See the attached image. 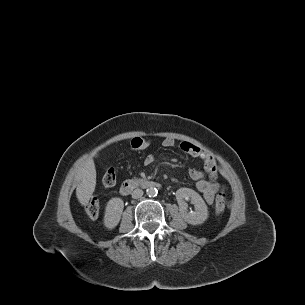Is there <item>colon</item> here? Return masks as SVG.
<instances>
[{
  "instance_id": "colon-1",
  "label": "colon",
  "mask_w": 305,
  "mask_h": 305,
  "mask_svg": "<svg viewBox=\"0 0 305 305\" xmlns=\"http://www.w3.org/2000/svg\"><path fill=\"white\" fill-rule=\"evenodd\" d=\"M131 148L134 151L141 152L150 146V140L144 137H135L130 142ZM117 175L114 169H109L103 176L102 183L105 187H112L116 184ZM226 205V193L221 190L216 196L214 209L216 213H221ZM87 216L96 220L99 217V203L96 199H92L86 207Z\"/></svg>"
}]
</instances>
